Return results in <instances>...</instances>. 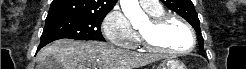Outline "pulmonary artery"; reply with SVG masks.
Masks as SVG:
<instances>
[{"instance_id": "1", "label": "pulmonary artery", "mask_w": 246, "mask_h": 69, "mask_svg": "<svg viewBox=\"0 0 246 69\" xmlns=\"http://www.w3.org/2000/svg\"><path fill=\"white\" fill-rule=\"evenodd\" d=\"M140 3L144 10H149V11L159 9L161 7L159 1H155V0H141Z\"/></svg>"}]
</instances>
